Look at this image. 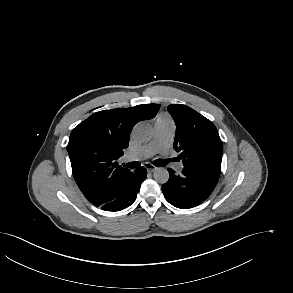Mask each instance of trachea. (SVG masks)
<instances>
[{"mask_svg":"<svg viewBox=\"0 0 293 293\" xmlns=\"http://www.w3.org/2000/svg\"><path fill=\"white\" fill-rule=\"evenodd\" d=\"M171 160H163V159H157L153 162V164L157 167H164L165 165L168 164V162ZM127 168H137L140 166L139 162H129L127 164L124 165Z\"/></svg>","mask_w":293,"mask_h":293,"instance_id":"obj_1","label":"trachea"}]
</instances>
